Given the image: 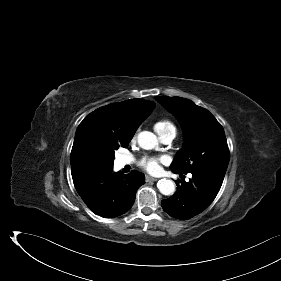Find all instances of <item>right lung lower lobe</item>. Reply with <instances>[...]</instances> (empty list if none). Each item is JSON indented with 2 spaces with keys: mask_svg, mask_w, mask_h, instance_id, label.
<instances>
[{
  "mask_svg": "<svg viewBox=\"0 0 281 281\" xmlns=\"http://www.w3.org/2000/svg\"><path fill=\"white\" fill-rule=\"evenodd\" d=\"M112 170L110 167L75 185L85 204L102 217H116L128 211L137 189L145 183V176L136 170L125 176Z\"/></svg>",
  "mask_w": 281,
  "mask_h": 281,
  "instance_id": "right-lung-lower-lobe-1",
  "label": "right lung lower lobe"
}]
</instances>
